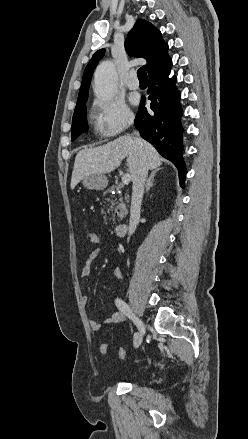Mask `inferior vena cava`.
Segmentation results:
<instances>
[{
    "label": "inferior vena cava",
    "instance_id": "602c4592",
    "mask_svg": "<svg viewBox=\"0 0 248 439\" xmlns=\"http://www.w3.org/2000/svg\"><path fill=\"white\" fill-rule=\"evenodd\" d=\"M135 134L138 135V133L136 132ZM135 140L140 145V148H142L141 140L139 138H135ZM148 170H149L148 162L146 160L145 155H142L138 168L132 178L133 186H132V199H131V208H130L129 235H132L135 232V229L137 227L140 218V208L144 194V186L148 175Z\"/></svg>",
    "mask_w": 248,
    "mask_h": 439
}]
</instances>
